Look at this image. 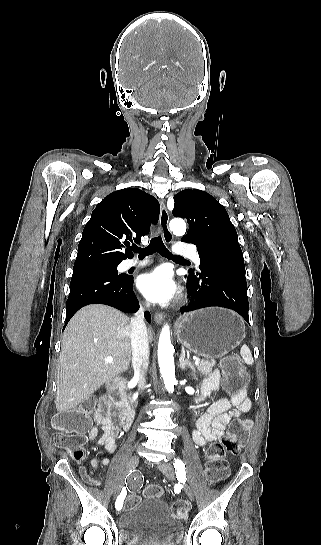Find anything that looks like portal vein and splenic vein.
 I'll use <instances>...</instances> for the list:
<instances>
[{
    "label": "portal vein and splenic vein",
    "instance_id": "18ae733b",
    "mask_svg": "<svg viewBox=\"0 0 321 545\" xmlns=\"http://www.w3.org/2000/svg\"><path fill=\"white\" fill-rule=\"evenodd\" d=\"M192 359H196V361H199V358H197V355H193ZM105 361L106 363H112L113 359L112 357H106Z\"/></svg>",
    "mask_w": 321,
    "mask_h": 545
}]
</instances>
